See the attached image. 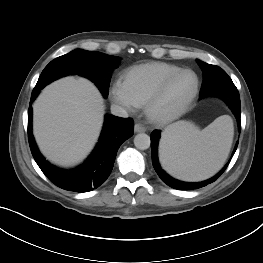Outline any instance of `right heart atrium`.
Segmentation results:
<instances>
[{"label":"right heart atrium","instance_id":"right-heart-atrium-1","mask_svg":"<svg viewBox=\"0 0 263 263\" xmlns=\"http://www.w3.org/2000/svg\"><path fill=\"white\" fill-rule=\"evenodd\" d=\"M110 97L111 100L122 109L126 111H133L138 107L136 102L129 95L124 83L120 80H117L113 83L110 88Z\"/></svg>","mask_w":263,"mask_h":263}]
</instances>
